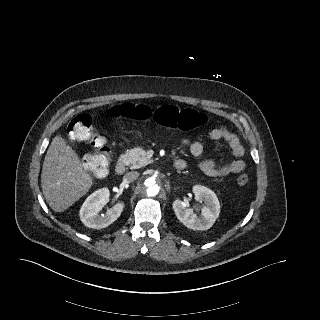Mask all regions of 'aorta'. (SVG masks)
Segmentation results:
<instances>
[{
  "label": "aorta",
  "mask_w": 320,
  "mask_h": 320,
  "mask_svg": "<svg viewBox=\"0 0 320 320\" xmlns=\"http://www.w3.org/2000/svg\"><path fill=\"white\" fill-rule=\"evenodd\" d=\"M142 186L144 189V193L148 197H155L159 194L161 190L160 182L157 178H154L153 176H145L142 180Z\"/></svg>",
  "instance_id": "1"
}]
</instances>
